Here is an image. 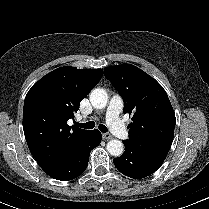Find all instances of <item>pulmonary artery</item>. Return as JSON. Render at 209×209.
<instances>
[{
	"mask_svg": "<svg viewBox=\"0 0 209 209\" xmlns=\"http://www.w3.org/2000/svg\"><path fill=\"white\" fill-rule=\"evenodd\" d=\"M123 108V101L118 96H113L110 99L107 113L106 122L109 129L114 135L121 139H129L130 133L121 121L119 114Z\"/></svg>",
	"mask_w": 209,
	"mask_h": 209,
	"instance_id": "1",
	"label": "pulmonary artery"
}]
</instances>
